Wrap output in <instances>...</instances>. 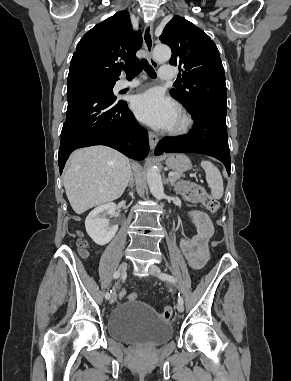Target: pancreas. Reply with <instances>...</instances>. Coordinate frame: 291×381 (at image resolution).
Returning a JSON list of instances; mask_svg holds the SVG:
<instances>
[{"mask_svg":"<svg viewBox=\"0 0 291 381\" xmlns=\"http://www.w3.org/2000/svg\"><path fill=\"white\" fill-rule=\"evenodd\" d=\"M183 177L182 173L174 172V176L170 178L171 184H175L177 180L181 179Z\"/></svg>","mask_w":291,"mask_h":381,"instance_id":"cf45deb5","label":"pancreas"}]
</instances>
